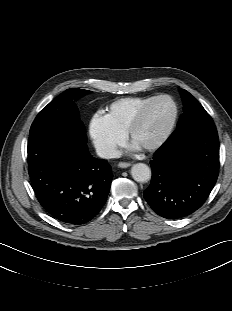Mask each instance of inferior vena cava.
<instances>
[{"label":"inferior vena cava","instance_id":"inferior-vena-cava-1","mask_svg":"<svg viewBox=\"0 0 232 311\" xmlns=\"http://www.w3.org/2000/svg\"><path fill=\"white\" fill-rule=\"evenodd\" d=\"M96 153L99 157L110 159L118 156V151L111 146H98L96 147Z\"/></svg>","mask_w":232,"mask_h":311}]
</instances>
